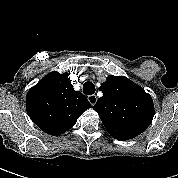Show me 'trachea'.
<instances>
[{
    "mask_svg": "<svg viewBox=\"0 0 178 178\" xmlns=\"http://www.w3.org/2000/svg\"><path fill=\"white\" fill-rule=\"evenodd\" d=\"M83 92L86 95H92L95 93V86L92 82H85L83 85Z\"/></svg>",
    "mask_w": 178,
    "mask_h": 178,
    "instance_id": "3493384b",
    "label": "trachea"
}]
</instances>
